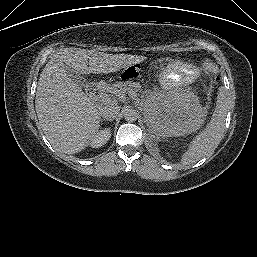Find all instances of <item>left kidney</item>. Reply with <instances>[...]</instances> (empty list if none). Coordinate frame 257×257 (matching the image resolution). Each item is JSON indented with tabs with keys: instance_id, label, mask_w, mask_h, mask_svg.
<instances>
[{
	"instance_id": "left-kidney-1",
	"label": "left kidney",
	"mask_w": 257,
	"mask_h": 257,
	"mask_svg": "<svg viewBox=\"0 0 257 257\" xmlns=\"http://www.w3.org/2000/svg\"><path fill=\"white\" fill-rule=\"evenodd\" d=\"M144 117L151 132L160 137L192 133L204 121L198 98L183 91L154 96L146 105Z\"/></svg>"
}]
</instances>
